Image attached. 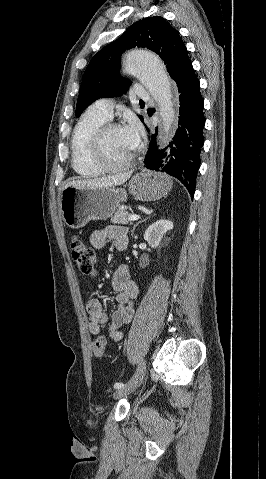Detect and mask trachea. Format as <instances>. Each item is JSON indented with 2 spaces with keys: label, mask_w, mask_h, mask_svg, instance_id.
Returning a JSON list of instances; mask_svg holds the SVG:
<instances>
[{
  "label": "trachea",
  "mask_w": 266,
  "mask_h": 479,
  "mask_svg": "<svg viewBox=\"0 0 266 479\" xmlns=\"http://www.w3.org/2000/svg\"><path fill=\"white\" fill-rule=\"evenodd\" d=\"M141 104H144V101H140Z\"/></svg>",
  "instance_id": "trachea-1"
}]
</instances>
